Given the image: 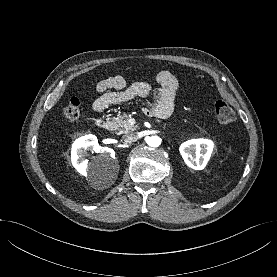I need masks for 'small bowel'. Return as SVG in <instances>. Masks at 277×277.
I'll return each instance as SVG.
<instances>
[{"label":"small bowel","instance_id":"obj_1","mask_svg":"<svg viewBox=\"0 0 277 277\" xmlns=\"http://www.w3.org/2000/svg\"><path fill=\"white\" fill-rule=\"evenodd\" d=\"M156 80L161 86L159 90H153L150 84L142 81L128 84L120 75L101 80L96 85L99 96L93 102V111L102 112L111 105L142 97L151 100L148 114L157 118H168L173 112L178 81L166 70L160 71Z\"/></svg>","mask_w":277,"mask_h":277}]
</instances>
